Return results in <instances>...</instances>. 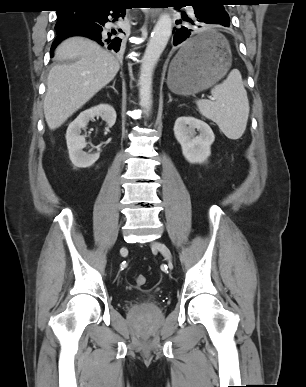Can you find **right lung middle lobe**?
I'll return each instance as SVG.
<instances>
[{
  "label": "right lung middle lobe",
  "mask_w": 306,
  "mask_h": 387,
  "mask_svg": "<svg viewBox=\"0 0 306 387\" xmlns=\"http://www.w3.org/2000/svg\"><path fill=\"white\" fill-rule=\"evenodd\" d=\"M88 8H82V9H64L61 11H58V20L55 25L56 31H61L63 29L69 28L71 26H74L80 22H82L87 15Z\"/></svg>",
  "instance_id": "dd1d6c3e"
}]
</instances>
